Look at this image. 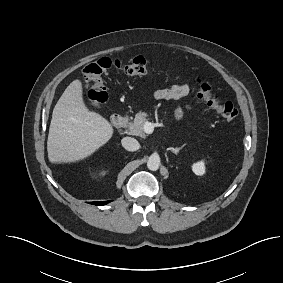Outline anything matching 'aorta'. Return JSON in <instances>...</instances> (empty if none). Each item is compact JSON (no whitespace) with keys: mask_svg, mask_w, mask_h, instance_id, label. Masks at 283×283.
Wrapping results in <instances>:
<instances>
[{"mask_svg":"<svg viewBox=\"0 0 283 283\" xmlns=\"http://www.w3.org/2000/svg\"><path fill=\"white\" fill-rule=\"evenodd\" d=\"M160 166V157L157 154H152L148 161H147V167L151 171H156L159 169Z\"/></svg>","mask_w":283,"mask_h":283,"instance_id":"obj_1","label":"aorta"}]
</instances>
